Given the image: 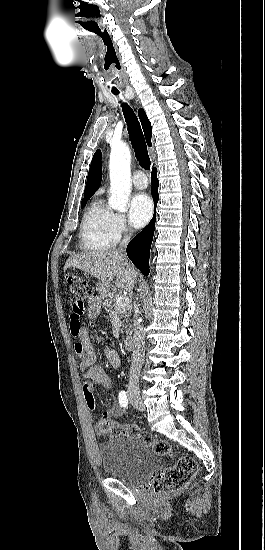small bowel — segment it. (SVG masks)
Wrapping results in <instances>:
<instances>
[{
    "label": "small bowel",
    "instance_id": "c3829d8e",
    "mask_svg": "<svg viewBox=\"0 0 265 550\" xmlns=\"http://www.w3.org/2000/svg\"><path fill=\"white\" fill-rule=\"evenodd\" d=\"M101 310V301L98 297H92L89 299L85 312L90 318L98 316ZM75 325L72 328V333L78 338V342L75 345V352L80 358V370L85 377L86 381L83 386V393L86 402L91 410L96 409V402L94 397V388L100 386L108 389L112 387V381L105 368L95 363V350L91 339L88 335L87 329L80 325L77 318L74 319ZM104 355L108 362L114 366L119 367L121 365L120 354L111 347H105ZM123 409L119 404H114L110 408L102 412V417H118L122 415Z\"/></svg>",
    "mask_w": 265,
    "mask_h": 550
}]
</instances>
